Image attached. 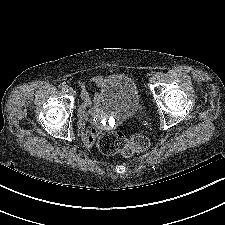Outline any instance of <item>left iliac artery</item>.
Masks as SVG:
<instances>
[{"label":"left iliac artery","mask_w":225,"mask_h":225,"mask_svg":"<svg viewBox=\"0 0 225 225\" xmlns=\"http://www.w3.org/2000/svg\"><path fill=\"white\" fill-rule=\"evenodd\" d=\"M163 76V74L161 73V72H157L156 74H155V77L156 78H161Z\"/></svg>","instance_id":"1"}]
</instances>
